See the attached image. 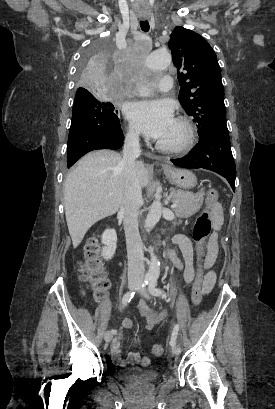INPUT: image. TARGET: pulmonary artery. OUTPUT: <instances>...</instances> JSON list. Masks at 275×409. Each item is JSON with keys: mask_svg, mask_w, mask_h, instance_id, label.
Segmentation results:
<instances>
[{"mask_svg": "<svg viewBox=\"0 0 275 409\" xmlns=\"http://www.w3.org/2000/svg\"><path fill=\"white\" fill-rule=\"evenodd\" d=\"M172 79H173L172 76L168 74L164 76V79L158 80V87L162 88L163 94L175 93V86ZM139 90H140L139 95H147V93L151 92V87L143 85L139 87Z\"/></svg>", "mask_w": 275, "mask_h": 409, "instance_id": "e3ab8cb5", "label": "pulmonary artery"}]
</instances>
